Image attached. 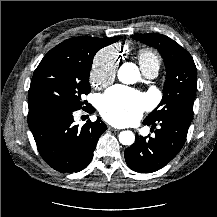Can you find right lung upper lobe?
I'll return each instance as SVG.
<instances>
[{
  "mask_svg": "<svg viewBox=\"0 0 217 217\" xmlns=\"http://www.w3.org/2000/svg\"><path fill=\"white\" fill-rule=\"evenodd\" d=\"M120 37H111V38H94L88 36H80L75 38H70L59 45H57L55 50H71V51H81L85 50L88 45H96L100 49L104 46L110 45L114 42H117Z\"/></svg>",
  "mask_w": 217,
  "mask_h": 217,
  "instance_id": "1",
  "label": "right lung upper lobe"
}]
</instances>
